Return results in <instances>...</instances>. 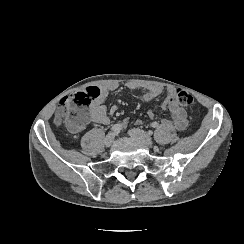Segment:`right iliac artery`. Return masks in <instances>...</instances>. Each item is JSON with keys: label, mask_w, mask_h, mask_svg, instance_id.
<instances>
[{"label": "right iliac artery", "mask_w": 244, "mask_h": 244, "mask_svg": "<svg viewBox=\"0 0 244 244\" xmlns=\"http://www.w3.org/2000/svg\"><path fill=\"white\" fill-rule=\"evenodd\" d=\"M122 129V124H115L111 127L110 133H117Z\"/></svg>", "instance_id": "82829eb1"}]
</instances>
